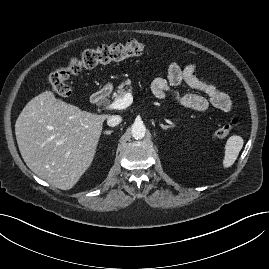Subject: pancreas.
Listing matches in <instances>:
<instances>
[{
	"instance_id": "cf45deb5",
	"label": "pancreas",
	"mask_w": 269,
	"mask_h": 269,
	"mask_svg": "<svg viewBox=\"0 0 269 269\" xmlns=\"http://www.w3.org/2000/svg\"><path fill=\"white\" fill-rule=\"evenodd\" d=\"M131 81L127 80L123 82L121 85L118 86L116 92L113 94V99H119L122 98L126 93H129L132 91V86L130 85Z\"/></svg>"
}]
</instances>
